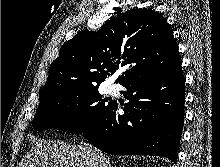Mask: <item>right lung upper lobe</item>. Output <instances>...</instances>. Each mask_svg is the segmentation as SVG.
I'll return each mask as SVG.
<instances>
[{
    "instance_id": "obj_1",
    "label": "right lung upper lobe",
    "mask_w": 220,
    "mask_h": 167,
    "mask_svg": "<svg viewBox=\"0 0 220 167\" xmlns=\"http://www.w3.org/2000/svg\"><path fill=\"white\" fill-rule=\"evenodd\" d=\"M181 63L173 30L152 9L119 14L98 31L83 30L64 43L51 64L40 102L65 90L99 86L119 67L129 66L116 82Z\"/></svg>"
}]
</instances>
